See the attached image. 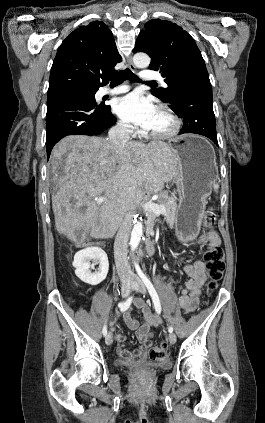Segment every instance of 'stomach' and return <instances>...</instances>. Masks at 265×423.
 Returning a JSON list of instances; mask_svg holds the SVG:
<instances>
[{
	"label": "stomach",
	"mask_w": 265,
	"mask_h": 423,
	"mask_svg": "<svg viewBox=\"0 0 265 423\" xmlns=\"http://www.w3.org/2000/svg\"><path fill=\"white\" fill-rule=\"evenodd\" d=\"M176 157L175 183L179 203L175 215L177 237L194 239L200 230L205 198L210 192L216 172V157L212 145L199 135L187 134L169 141Z\"/></svg>",
	"instance_id": "stomach-1"
}]
</instances>
